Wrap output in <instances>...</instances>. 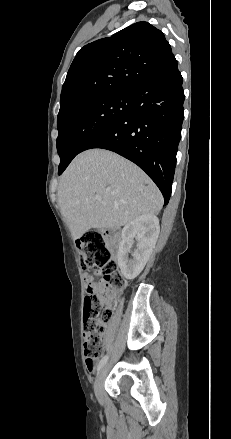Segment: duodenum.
Listing matches in <instances>:
<instances>
[{"label":"duodenum","mask_w":231,"mask_h":439,"mask_svg":"<svg viewBox=\"0 0 231 439\" xmlns=\"http://www.w3.org/2000/svg\"><path fill=\"white\" fill-rule=\"evenodd\" d=\"M111 235L112 236H117V233L116 232H112Z\"/></svg>","instance_id":"duodenum-1"}]
</instances>
